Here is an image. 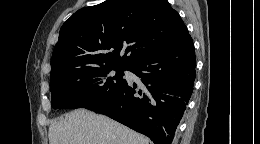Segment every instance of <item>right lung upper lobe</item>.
<instances>
[{"label":"right lung upper lobe","mask_w":260,"mask_h":144,"mask_svg":"<svg viewBox=\"0 0 260 144\" xmlns=\"http://www.w3.org/2000/svg\"><path fill=\"white\" fill-rule=\"evenodd\" d=\"M188 35L167 0H106L78 10L62 25L50 77L94 66L128 67Z\"/></svg>","instance_id":"right-lung-upper-lobe-1"}]
</instances>
